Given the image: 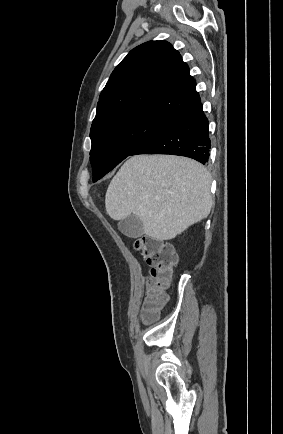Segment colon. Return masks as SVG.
Instances as JSON below:
<instances>
[{
  "label": "colon",
  "mask_w": 283,
  "mask_h": 434,
  "mask_svg": "<svg viewBox=\"0 0 283 434\" xmlns=\"http://www.w3.org/2000/svg\"><path fill=\"white\" fill-rule=\"evenodd\" d=\"M134 246L151 267L142 314L143 322L148 323L158 316L167 300L166 290L171 282L176 256L169 245L154 238H138Z\"/></svg>",
  "instance_id": "colon-1"
}]
</instances>
